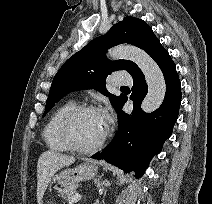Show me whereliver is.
<instances>
[{
	"instance_id": "6515ba94",
	"label": "liver",
	"mask_w": 212,
	"mask_h": 204,
	"mask_svg": "<svg viewBox=\"0 0 212 204\" xmlns=\"http://www.w3.org/2000/svg\"><path fill=\"white\" fill-rule=\"evenodd\" d=\"M74 162V157H70L52 150L45 151L40 155L37 163L38 204H41L44 193L54 174L59 169L69 166Z\"/></svg>"
}]
</instances>
